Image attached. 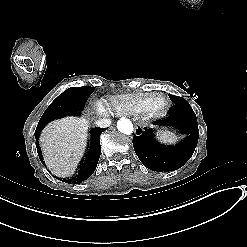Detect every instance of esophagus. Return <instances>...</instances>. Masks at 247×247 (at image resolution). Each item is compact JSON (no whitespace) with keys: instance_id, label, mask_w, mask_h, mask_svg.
<instances>
[{"instance_id":"1","label":"esophagus","mask_w":247,"mask_h":247,"mask_svg":"<svg viewBox=\"0 0 247 247\" xmlns=\"http://www.w3.org/2000/svg\"><path fill=\"white\" fill-rule=\"evenodd\" d=\"M142 132V130L140 129L139 131L136 130V134L139 135Z\"/></svg>"}]
</instances>
